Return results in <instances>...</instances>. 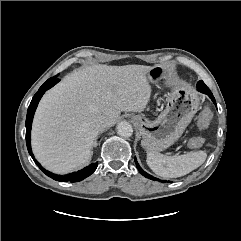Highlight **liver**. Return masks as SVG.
<instances>
[{
    "label": "liver",
    "mask_w": 241,
    "mask_h": 241,
    "mask_svg": "<svg viewBox=\"0 0 241 241\" xmlns=\"http://www.w3.org/2000/svg\"><path fill=\"white\" fill-rule=\"evenodd\" d=\"M144 65H92L67 76L41 99L32 126V150L48 170L65 174L91 159L99 131L94 121L111 126L122 111L141 112L150 101ZM102 130V129H101Z\"/></svg>",
    "instance_id": "liver-1"
}]
</instances>
